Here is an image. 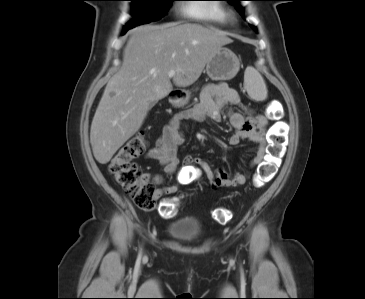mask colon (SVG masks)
Masks as SVG:
<instances>
[{
  "instance_id": "1",
  "label": "colon",
  "mask_w": 365,
  "mask_h": 299,
  "mask_svg": "<svg viewBox=\"0 0 365 299\" xmlns=\"http://www.w3.org/2000/svg\"><path fill=\"white\" fill-rule=\"evenodd\" d=\"M281 110L278 103H271L268 111L270 118L276 119L268 136L267 154L254 176V185L261 187L270 182L280 166L286 145V124L279 120ZM143 132H138L127 140L113 155L108 165V171L114 181L128 193L135 204L142 210H153L156 207V188L153 182L146 180L134 162L146 149ZM178 204L165 200L160 206V212L165 217L173 216ZM213 217L219 223H226L231 218V212L225 208H216Z\"/></svg>"
}]
</instances>
